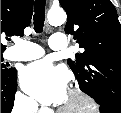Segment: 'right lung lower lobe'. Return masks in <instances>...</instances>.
Instances as JSON below:
<instances>
[{
	"mask_svg": "<svg viewBox=\"0 0 121 113\" xmlns=\"http://www.w3.org/2000/svg\"><path fill=\"white\" fill-rule=\"evenodd\" d=\"M17 89V75L14 68L1 75V113H10L14 104Z\"/></svg>",
	"mask_w": 121,
	"mask_h": 113,
	"instance_id": "1",
	"label": "right lung lower lobe"
}]
</instances>
